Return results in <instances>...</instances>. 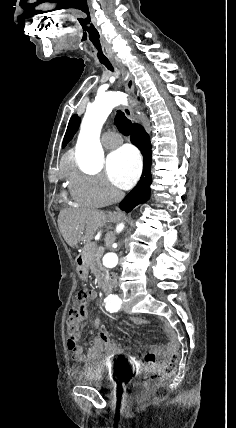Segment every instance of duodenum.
I'll use <instances>...</instances> for the list:
<instances>
[{"mask_svg": "<svg viewBox=\"0 0 236 428\" xmlns=\"http://www.w3.org/2000/svg\"><path fill=\"white\" fill-rule=\"evenodd\" d=\"M76 266L79 271H83L84 260L81 255H78L76 257ZM115 287H116V276L113 274H108L105 278V282L103 285V292L106 298L113 294Z\"/></svg>", "mask_w": 236, "mask_h": 428, "instance_id": "obj_1", "label": "duodenum"}]
</instances>
